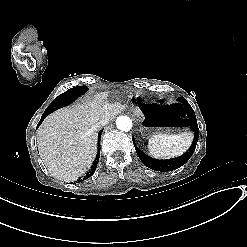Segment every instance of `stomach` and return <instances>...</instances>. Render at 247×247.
Instances as JSON below:
<instances>
[{
    "label": "stomach",
    "instance_id": "1",
    "mask_svg": "<svg viewBox=\"0 0 247 247\" xmlns=\"http://www.w3.org/2000/svg\"><path fill=\"white\" fill-rule=\"evenodd\" d=\"M140 118V131L143 135H175L187 130L186 116L179 104L173 101L147 102L141 96L133 97Z\"/></svg>",
    "mask_w": 247,
    "mask_h": 247
}]
</instances>
